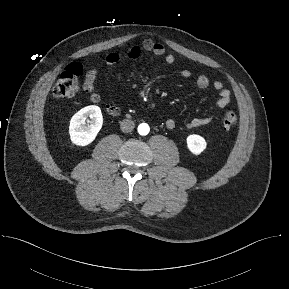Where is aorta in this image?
Masks as SVG:
<instances>
[{"label": "aorta", "mask_w": 289, "mask_h": 289, "mask_svg": "<svg viewBox=\"0 0 289 289\" xmlns=\"http://www.w3.org/2000/svg\"><path fill=\"white\" fill-rule=\"evenodd\" d=\"M149 125L146 123H142L138 126V133L140 135H147L149 133Z\"/></svg>", "instance_id": "762f6f07"}]
</instances>
